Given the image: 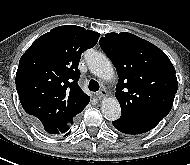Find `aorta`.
<instances>
[{
    "label": "aorta",
    "mask_w": 190,
    "mask_h": 165,
    "mask_svg": "<svg viewBox=\"0 0 190 165\" xmlns=\"http://www.w3.org/2000/svg\"><path fill=\"white\" fill-rule=\"evenodd\" d=\"M87 63L90 72L101 79L111 80L115 75L111 61L101 52H93ZM101 111L109 121L117 120L121 115L120 104L114 97L102 100Z\"/></svg>",
    "instance_id": "obj_1"
}]
</instances>
